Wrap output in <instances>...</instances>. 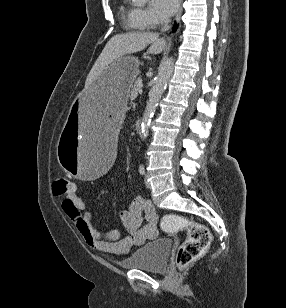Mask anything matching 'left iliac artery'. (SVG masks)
I'll list each match as a JSON object with an SVG mask.
<instances>
[{"instance_id":"44dca946","label":"left iliac artery","mask_w":286,"mask_h":308,"mask_svg":"<svg viewBox=\"0 0 286 308\" xmlns=\"http://www.w3.org/2000/svg\"><path fill=\"white\" fill-rule=\"evenodd\" d=\"M139 173H140L141 175H144V174H145V168H144V165H143V164H141V165L139 166Z\"/></svg>"}]
</instances>
